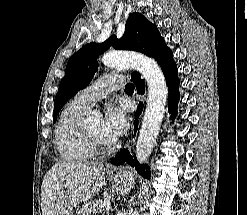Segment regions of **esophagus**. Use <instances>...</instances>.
<instances>
[{
  "mask_svg": "<svg viewBox=\"0 0 247 215\" xmlns=\"http://www.w3.org/2000/svg\"><path fill=\"white\" fill-rule=\"evenodd\" d=\"M144 99H145L144 96H141V95H137V96H136L137 102L144 101ZM131 143H132V137H131V138L129 139V141L126 143L125 147H129ZM108 170L111 171V172H119V171H120V168L117 167V166L108 165Z\"/></svg>",
  "mask_w": 247,
  "mask_h": 215,
  "instance_id": "obj_1",
  "label": "esophagus"
}]
</instances>
